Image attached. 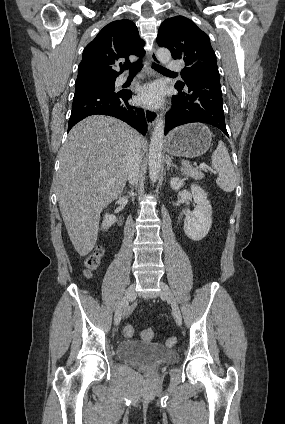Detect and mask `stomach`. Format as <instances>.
<instances>
[{
  "mask_svg": "<svg viewBox=\"0 0 285 424\" xmlns=\"http://www.w3.org/2000/svg\"><path fill=\"white\" fill-rule=\"evenodd\" d=\"M212 133L201 123H192L174 129L167 137L166 149L171 155L198 157L211 146Z\"/></svg>",
  "mask_w": 285,
  "mask_h": 424,
  "instance_id": "obj_1",
  "label": "stomach"
}]
</instances>
